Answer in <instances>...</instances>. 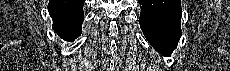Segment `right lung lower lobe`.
<instances>
[{
	"label": "right lung lower lobe",
	"mask_w": 230,
	"mask_h": 71,
	"mask_svg": "<svg viewBox=\"0 0 230 71\" xmlns=\"http://www.w3.org/2000/svg\"><path fill=\"white\" fill-rule=\"evenodd\" d=\"M85 0H49L48 11L54 31L64 40L72 41L81 34Z\"/></svg>",
	"instance_id": "obj_1"
}]
</instances>
